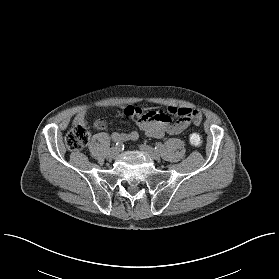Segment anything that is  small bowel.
I'll return each instance as SVG.
<instances>
[{
    "label": "small bowel",
    "mask_w": 279,
    "mask_h": 279,
    "mask_svg": "<svg viewBox=\"0 0 279 279\" xmlns=\"http://www.w3.org/2000/svg\"><path fill=\"white\" fill-rule=\"evenodd\" d=\"M123 113L136 121L139 130L153 137H162L166 134H179L191 123L199 125L202 121L200 113L196 110L169 106L166 110H146L139 106H125ZM88 109H82L73 118V124H86ZM175 117V119H173ZM107 123L103 119L94 122L96 129L102 130ZM139 137L136 130L129 132H116L112 134L114 140L120 142L134 141Z\"/></svg>",
    "instance_id": "c3829d8e"
}]
</instances>
